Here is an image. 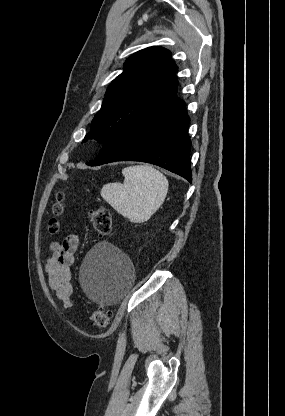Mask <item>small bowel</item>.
I'll return each mask as SVG.
<instances>
[{
	"mask_svg": "<svg viewBox=\"0 0 285 416\" xmlns=\"http://www.w3.org/2000/svg\"><path fill=\"white\" fill-rule=\"evenodd\" d=\"M79 236L68 235L61 243L49 244V256L45 263L48 286L55 297L63 303L65 309L74 306L72 300L71 266L79 247Z\"/></svg>",
	"mask_w": 285,
	"mask_h": 416,
	"instance_id": "small-bowel-1",
	"label": "small bowel"
}]
</instances>
